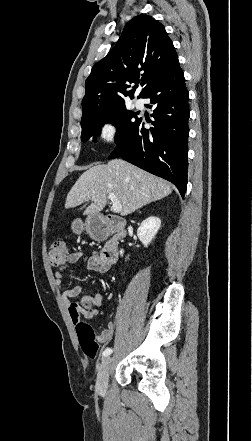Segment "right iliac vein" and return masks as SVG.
<instances>
[{
  "instance_id": "63e3f726",
  "label": "right iliac vein",
  "mask_w": 252,
  "mask_h": 441,
  "mask_svg": "<svg viewBox=\"0 0 252 441\" xmlns=\"http://www.w3.org/2000/svg\"><path fill=\"white\" fill-rule=\"evenodd\" d=\"M111 364H112L111 358L105 357L98 371L96 389L97 392L101 395H105L106 393L108 375L111 368Z\"/></svg>"
}]
</instances>
